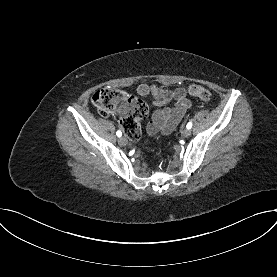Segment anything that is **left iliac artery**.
<instances>
[{
	"label": "left iliac artery",
	"instance_id": "44dca946",
	"mask_svg": "<svg viewBox=\"0 0 277 277\" xmlns=\"http://www.w3.org/2000/svg\"><path fill=\"white\" fill-rule=\"evenodd\" d=\"M186 127H187L188 129H191V128H192V123L189 122V123L186 125Z\"/></svg>",
	"mask_w": 277,
	"mask_h": 277
}]
</instances>
